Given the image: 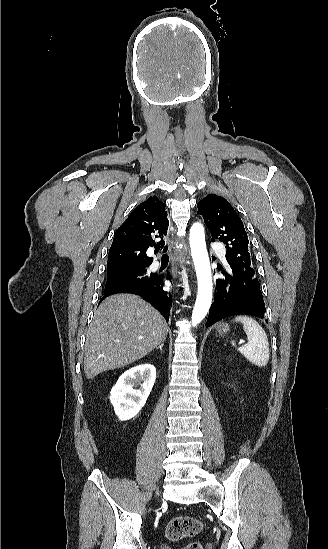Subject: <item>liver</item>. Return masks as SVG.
I'll use <instances>...</instances> for the list:
<instances>
[{"mask_svg": "<svg viewBox=\"0 0 328 549\" xmlns=\"http://www.w3.org/2000/svg\"><path fill=\"white\" fill-rule=\"evenodd\" d=\"M168 325L137 295H112L94 311L84 353L86 379L142 359L163 343Z\"/></svg>", "mask_w": 328, "mask_h": 549, "instance_id": "liver-1", "label": "liver"}]
</instances>
